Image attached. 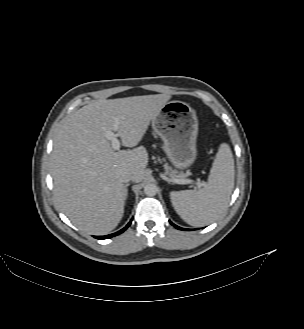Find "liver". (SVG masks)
Wrapping results in <instances>:
<instances>
[{
	"label": "liver",
	"instance_id": "obj_1",
	"mask_svg": "<svg viewBox=\"0 0 304 329\" xmlns=\"http://www.w3.org/2000/svg\"><path fill=\"white\" fill-rule=\"evenodd\" d=\"M169 94L98 100L72 114L59 129L51 155L54 194L60 209L81 231L104 235L123 217L126 192L119 173L143 180L148 153L136 147ZM117 131L125 147L114 150L105 137Z\"/></svg>",
	"mask_w": 304,
	"mask_h": 329
}]
</instances>
